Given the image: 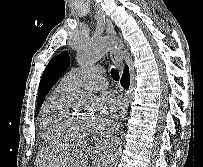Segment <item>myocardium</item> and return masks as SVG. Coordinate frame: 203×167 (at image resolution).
Returning a JSON list of instances; mask_svg holds the SVG:
<instances>
[{"label": "myocardium", "instance_id": "obj_1", "mask_svg": "<svg viewBox=\"0 0 203 167\" xmlns=\"http://www.w3.org/2000/svg\"><path fill=\"white\" fill-rule=\"evenodd\" d=\"M71 126L78 136H84L92 130L90 122L74 114L71 116Z\"/></svg>", "mask_w": 203, "mask_h": 167}]
</instances>
